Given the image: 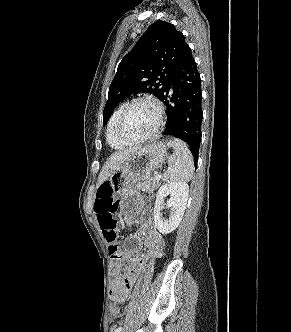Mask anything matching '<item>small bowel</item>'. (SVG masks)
I'll return each instance as SVG.
<instances>
[{"mask_svg":"<svg viewBox=\"0 0 291 332\" xmlns=\"http://www.w3.org/2000/svg\"><path fill=\"white\" fill-rule=\"evenodd\" d=\"M111 188L109 183H103L99 186L96 198L101 190ZM96 199L94 203V210L96 211ZM131 223L127 221V225ZM135 238L142 239L145 252L134 254L129 248H123L119 251V257L113 263V271L115 278L112 283L111 296L112 299L118 302H123L127 299L130 291L132 290L137 280L138 274L144 264L153 258H159L164 251V240L160 232L154 226L151 219H146L141 222L140 229L135 235ZM130 260L132 264L129 266L124 276L119 275L120 268L123 261Z\"/></svg>","mask_w":291,"mask_h":332,"instance_id":"c3829d8e","label":"small bowel"}]
</instances>
